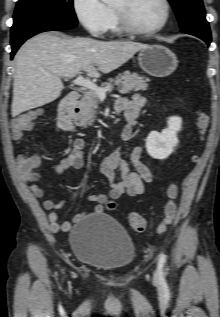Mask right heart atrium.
<instances>
[{"label":"right heart atrium","instance_id":"d8ad5b80","mask_svg":"<svg viewBox=\"0 0 220 317\" xmlns=\"http://www.w3.org/2000/svg\"><path fill=\"white\" fill-rule=\"evenodd\" d=\"M72 6L78 21L91 35L98 37L107 32L111 11L101 0H73Z\"/></svg>","mask_w":220,"mask_h":317}]
</instances>
